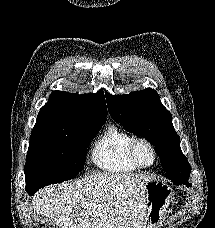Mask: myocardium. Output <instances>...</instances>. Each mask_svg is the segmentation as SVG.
<instances>
[{
    "instance_id": "myocardium-1",
    "label": "myocardium",
    "mask_w": 215,
    "mask_h": 228,
    "mask_svg": "<svg viewBox=\"0 0 215 228\" xmlns=\"http://www.w3.org/2000/svg\"><path fill=\"white\" fill-rule=\"evenodd\" d=\"M142 146L147 147L153 155V161L150 165H143L138 159V150ZM129 158L135 167L139 169H150L154 167L158 161V152L154 144L148 139L135 138L129 147Z\"/></svg>"
}]
</instances>
